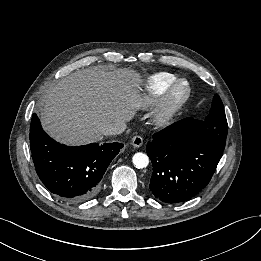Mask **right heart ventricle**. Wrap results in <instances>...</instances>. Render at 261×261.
Here are the masks:
<instances>
[{
    "mask_svg": "<svg viewBox=\"0 0 261 261\" xmlns=\"http://www.w3.org/2000/svg\"><path fill=\"white\" fill-rule=\"evenodd\" d=\"M176 80L175 74L166 72L149 76L143 84L138 106L141 109L153 107Z\"/></svg>",
    "mask_w": 261,
    "mask_h": 261,
    "instance_id": "obj_1",
    "label": "right heart ventricle"
}]
</instances>
